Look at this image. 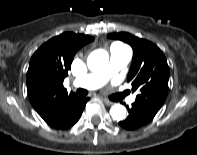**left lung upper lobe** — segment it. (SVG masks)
Segmentation results:
<instances>
[{
    "label": "left lung upper lobe",
    "mask_w": 197,
    "mask_h": 155,
    "mask_svg": "<svg viewBox=\"0 0 197 155\" xmlns=\"http://www.w3.org/2000/svg\"><path fill=\"white\" fill-rule=\"evenodd\" d=\"M108 38L124 41L132 47L128 81L133 91H139L135 103L156 115L168 92L169 67L163 52L152 42L129 33H111Z\"/></svg>",
    "instance_id": "1"
}]
</instances>
